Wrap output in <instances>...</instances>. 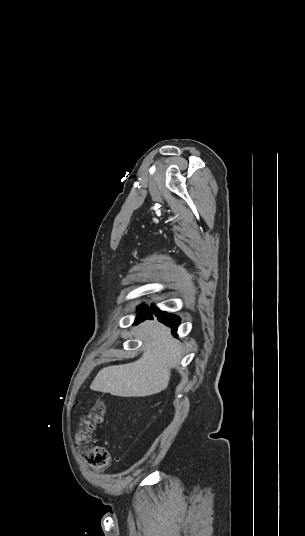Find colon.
I'll return each instance as SVG.
<instances>
[{"mask_svg":"<svg viewBox=\"0 0 305 536\" xmlns=\"http://www.w3.org/2000/svg\"><path fill=\"white\" fill-rule=\"evenodd\" d=\"M104 411V403L98 400L91 411L82 416L77 432V440L83 442L80 446V458L82 462H93L94 468L102 467L109 462V451L105 446L86 443L91 439L97 425L101 423Z\"/></svg>","mask_w":305,"mask_h":536,"instance_id":"5ec220e1","label":"colon"}]
</instances>
